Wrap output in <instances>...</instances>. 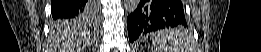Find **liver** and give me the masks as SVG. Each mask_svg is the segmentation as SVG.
<instances>
[{
	"label": "liver",
	"instance_id": "obj_1",
	"mask_svg": "<svg viewBox=\"0 0 261 52\" xmlns=\"http://www.w3.org/2000/svg\"><path fill=\"white\" fill-rule=\"evenodd\" d=\"M54 35H55V38L59 39L60 40V37L61 36H64L68 33H70V29H71V25H64V26H58L57 24H54ZM72 43H68L67 45H70Z\"/></svg>",
	"mask_w": 261,
	"mask_h": 52
}]
</instances>
